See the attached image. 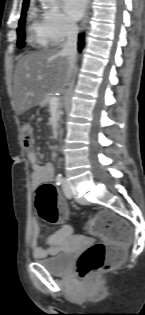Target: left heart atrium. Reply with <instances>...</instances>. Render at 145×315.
Here are the masks:
<instances>
[{
  "instance_id": "left-heart-atrium-1",
  "label": "left heart atrium",
  "mask_w": 145,
  "mask_h": 315,
  "mask_svg": "<svg viewBox=\"0 0 145 315\" xmlns=\"http://www.w3.org/2000/svg\"><path fill=\"white\" fill-rule=\"evenodd\" d=\"M87 0H62L65 13L72 21L79 20L85 10Z\"/></svg>"
}]
</instances>
